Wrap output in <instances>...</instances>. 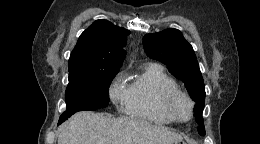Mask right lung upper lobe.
I'll use <instances>...</instances> for the list:
<instances>
[{
	"mask_svg": "<svg viewBox=\"0 0 260 144\" xmlns=\"http://www.w3.org/2000/svg\"><path fill=\"white\" fill-rule=\"evenodd\" d=\"M129 33L107 20H96L80 35L68 62L69 74L119 69Z\"/></svg>",
	"mask_w": 260,
	"mask_h": 144,
	"instance_id": "obj_1",
	"label": "right lung upper lobe"
}]
</instances>
